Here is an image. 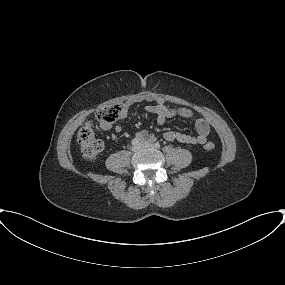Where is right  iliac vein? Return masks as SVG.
Segmentation results:
<instances>
[{
    "mask_svg": "<svg viewBox=\"0 0 285 285\" xmlns=\"http://www.w3.org/2000/svg\"><path fill=\"white\" fill-rule=\"evenodd\" d=\"M141 146H142V144L134 145V146L132 147V150H133L134 152H136V151H138V150L141 148Z\"/></svg>",
    "mask_w": 285,
    "mask_h": 285,
    "instance_id": "63e3f726",
    "label": "right iliac vein"
}]
</instances>
